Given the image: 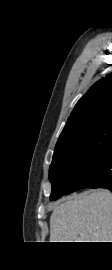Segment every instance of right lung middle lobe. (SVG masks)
<instances>
[{
	"label": "right lung middle lobe",
	"instance_id": "dd1d6c3e",
	"mask_svg": "<svg viewBox=\"0 0 112 270\" xmlns=\"http://www.w3.org/2000/svg\"><path fill=\"white\" fill-rule=\"evenodd\" d=\"M111 143L112 122H106L57 144L49 169L50 200L78 190L87 168Z\"/></svg>",
	"mask_w": 112,
	"mask_h": 270
}]
</instances>
